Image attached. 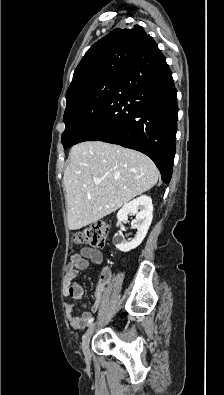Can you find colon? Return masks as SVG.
I'll return each instance as SVG.
<instances>
[{"label": "colon", "instance_id": "obj_1", "mask_svg": "<svg viewBox=\"0 0 224 395\" xmlns=\"http://www.w3.org/2000/svg\"><path fill=\"white\" fill-rule=\"evenodd\" d=\"M108 225L104 222L81 229L74 233L72 240L77 245L102 248L106 242Z\"/></svg>", "mask_w": 224, "mask_h": 395}]
</instances>
